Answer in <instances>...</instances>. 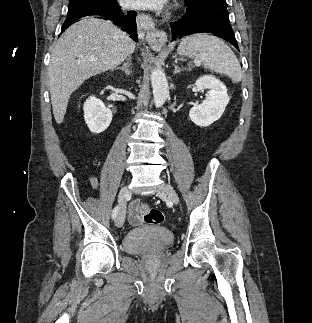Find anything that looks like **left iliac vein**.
Here are the masks:
<instances>
[{
  "mask_svg": "<svg viewBox=\"0 0 312 323\" xmlns=\"http://www.w3.org/2000/svg\"><path fill=\"white\" fill-rule=\"evenodd\" d=\"M157 194L158 195L166 194L171 201H173L176 205L178 204V196L174 191V189L168 184L164 185L162 188H159L157 191Z\"/></svg>",
  "mask_w": 312,
  "mask_h": 323,
  "instance_id": "left-iliac-vein-1",
  "label": "left iliac vein"
}]
</instances>
